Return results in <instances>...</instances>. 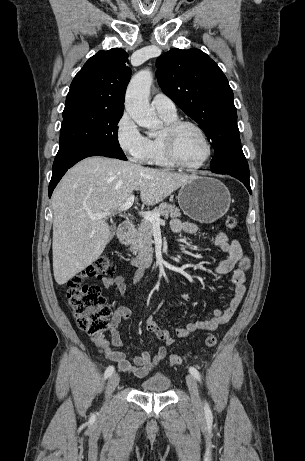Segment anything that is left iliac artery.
Segmentation results:
<instances>
[{
  "mask_svg": "<svg viewBox=\"0 0 305 461\" xmlns=\"http://www.w3.org/2000/svg\"><path fill=\"white\" fill-rule=\"evenodd\" d=\"M189 372L194 376L195 379H197L199 382L201 381L200 373L195 367H190ZM204 410L206 415L210 416L212 414L207 402H205Z\"/></svg>",
  "mask_w": 305,
  "mask_h": 461,
  "instance_id": "left-iliac-artery-1",
  "label": "left iliac artery"
}]
</instances>
